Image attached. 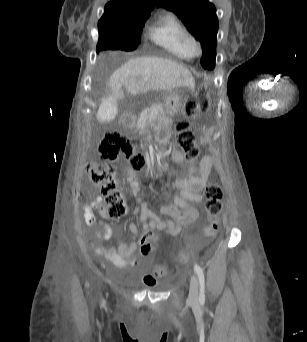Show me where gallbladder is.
Returning <instances> with one entry per match:
<instances>
[{"mask_svg":"<svg viewBox=\"0 0 307 342\" xmlns=\"http://www.w3.org/2000/svg\"><path fill=\"white\" fill-rule=\"evenodd\" d=\"M104 103H100L97 108V118L100 123H110L118 109V102H122V95H106Z\"/></svg>","mask_w":307,"mask_h":342,"instance_id":"obj_1","label":"gallbladder"}]
</instances>
